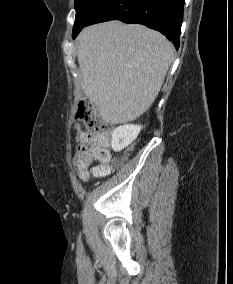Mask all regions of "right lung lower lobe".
Wrapping results in <instances>:
<instances>
[{
    "label": "right lung lower lobe",
    "mask_w": 233,
    "mask_h": 284,
    "mask_svg": "<svg viewBox=\"0 0 233 284\" xmlns=\"http://www.w3.org/2000/svg\"><path fill=\"white\" fill-rule=\"evenodd\" d=\"M183 10L184 0H109L85 26L109 20L143 24L163 33L178 49Z\"/></svg>",
    "instance_id": "1"
}]
</instances>
